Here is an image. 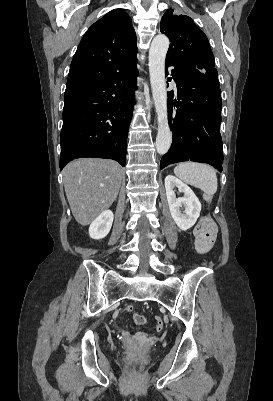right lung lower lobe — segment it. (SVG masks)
<instances>
[{"label": "right lung lower lobe", "mask_w": 273, "mask_h": 401, "mask_svg": "<svg viewBox=\"0 0 273 401\" xmlns=\"http://www.w3.org/2000/svg\"><path fill=\"white\" fill-rule=\"evenodd\" d=\"M136 63L103 81L64 97L60 170L80 157L109 158L125 166L132 118Z\"/></svg>", "instance_id": "right-lung-lower-lobe-1"}]
</instances>
